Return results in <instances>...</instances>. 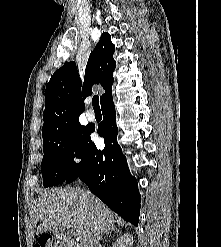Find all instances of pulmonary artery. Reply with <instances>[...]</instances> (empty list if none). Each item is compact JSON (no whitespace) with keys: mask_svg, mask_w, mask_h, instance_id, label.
I'll return each mask as SVG.
<instances>
[{"mask_svg":"<svg viewBox=\"0 0 221 247\" xmlns=\"http://www.w3.org/2000/svg\"><path fill=\"white\" fill-rule=\"evenodd\" d=\"M86 117L89 121H93L95 119V114L92 110H87Z\"/></svg>","mask_w":221,"mask_h":247,"instance_id":"e3ab8cb5","label":"pulmonary artery"}]
</instances>
